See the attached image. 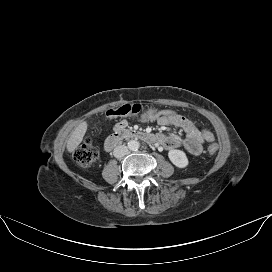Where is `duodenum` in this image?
<instances>
[{
	"label": "duodenum",
	"instance_id": "1",
	"mask_svg": "<svg viewBox=\"0 0 272 272\" xmlns=\"http://www.w3.org/2000/svg\"><path fill=\"white\" fill-rule=\"evenodd\" d=\"M124 139H139L148 143H154L157 140L155 135L145 131L120 128L106 139L105 150L112 151Z\"/></svg>",
	"mask_w": 272,
	"mask_h": 272
}]
</instances>
